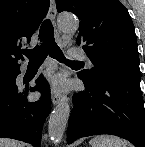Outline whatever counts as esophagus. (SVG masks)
<instances>
[{"label":"esophagus","mask_w":145,"mask_h":147,"mask_svg":"<svg viewBox=\"0 0 145 147\" xmlns=\"http://www.w3.org/2000/svg\"><path fill=\"white\" fill-rule=\"evenodd\" d=\"M56 15H57L56 3H55V0H51L50 9H49L50 20L54 22ZM66 99H67L66 95L58 94V95L53 96L52 103L53 105H57L58 103H60L61 101H65Z\"/></svg>","instance_id":"obj_1"}]
</instances>
